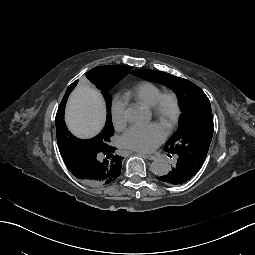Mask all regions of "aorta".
Segmentation results:
<instances>
[{
    "label": "aorta",
    "mask_w": 255,
    "mask_h": 255,
    "mask_svg": "<svg viewBox=\"0 0 255 255\" xmlns=\"http://www.w3.org/2000/svg\"><path fill=\"white\" fill-rule=\"evenodd\" d=\"M126 118L132 123H138L146 118V112L139 106H132L126 110ZM152 172L157 176H163L170 170V165L163 158L155 159L151 164Z\"/></svg>",
    "instance_id": "762f6f07"
}]
</instances>
